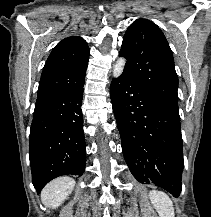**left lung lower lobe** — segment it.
<instances>
[{
  "instance_id": "1",
  "label": "left lung lower lobe",
  "mask_w": 211,
  "mask_h": 217,
  "mask_svg": "<svg viewBox=\"0 0 211 217\" xmlns=\"http://www.w3.org/2000/svg\"><path fill=\"white\" fill-rule=\"evenodd\" d=\"M110 95L131 173L178 197L184 167L179 113L124 74L112 80Z\"/></svg>"
}]
</instances>
